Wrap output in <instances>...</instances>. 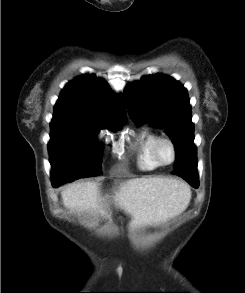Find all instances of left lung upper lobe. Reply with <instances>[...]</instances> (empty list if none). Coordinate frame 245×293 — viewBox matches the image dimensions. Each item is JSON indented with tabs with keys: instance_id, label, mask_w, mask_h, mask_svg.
Returning a JSON list of instances; mask_svg holds the SVG:
<instances>
[{
	"instance_id": "5c2ea615",
	"label": "left lung upper lobe",
	"mask_w": 245,
	"mask_h": 293,
	"mask_svg": "<svg viewBox=\"0 0 245 293\" xmlns=\"http://www.w3.org/2000/svg\"><path fill=\"white\" fill-rule=\"evenodd\" d=\"M125 99L134 122H149L165 130L175 145L174 174L198 176L194 124L187 90L172 77L148 75L129 84Z\"/></svg>"
}]
</instances>
